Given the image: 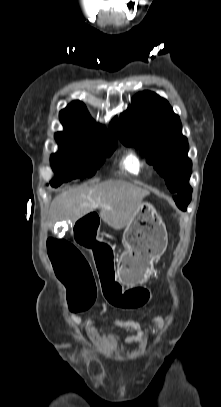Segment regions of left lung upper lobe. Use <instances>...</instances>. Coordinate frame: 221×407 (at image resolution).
<instances>
[{"label":"left lung upper lobe","mask_w":221,"mask_h":407,"mask_svg":"<svg viewBox=\"0 0 221 407\" xmlns=\"http://www.w3.org/2000/svg\"><path fill=\"white\" fill-rule=\"evenodd\" d=\"M119 138L123 144L141 150L176 194L174 199L192 193L187 138L182 135L179 116L167 100L150 91L135 95L120 116Z\"/></svg>","instance_id":"left-lung-upper-lobe-1"}]
</instances>
